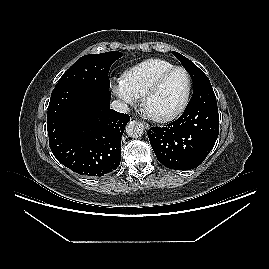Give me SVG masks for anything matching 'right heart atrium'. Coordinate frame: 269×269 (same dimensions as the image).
I'll use <instances>...</instances> for the list:
<instances>
[{"label":"right heart atrium","instance_id":"right-heart-atrium-1","mask_svg":"<svg viewBox=\"0 0 269 269\" xmlns=\"http://www.w3.org/2000/svg\"><path fill=\"white\" fill-rule=\"evenodd\" d=\"M113 93L125 104L133 105L137 102L138 96L126 86L123 79H117L112 86Z\"/></svg>","mask_w":269,"mask_h":269}]
</instances>
